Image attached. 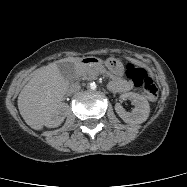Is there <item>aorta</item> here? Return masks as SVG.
I'll use <instances>...</instances> for the list:
<instances>
[{"label": "aorta", "instance_id": "1", "mask_svg": "<svg viewBox=\"0 0 187 187\" xmlns=\"http://www.w3.org/2000/svg\"><path fill=\"white\" fill-rule=\"evenodd\" d=\"M90 88H91L92 90H95V89H96V84H95V83H91V84H90Z\"/></svg>", "mask_w": 187, "mask_h": 187}]
</instances>
